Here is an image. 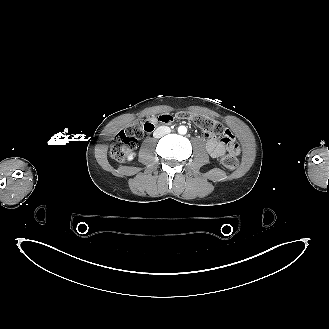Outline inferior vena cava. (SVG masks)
<instances>
[{
  "instance_id": "602c4592",
  "label": "inferior vena cava",
  "mask_w": 329,
  "mask_h": 329,
  "mask_svg": "<svg viewBox=\"0 0 329 329\" xmlns=\"http://www.w3.org/2000/svg\"><path fill=\"white\" fill-rule=\"evenodd\" d=\"M170 132L171 129L168 126H160L154 131L153 136L155 138H161L164 135L169 134Z\"/></svg>"
}]
</instances>
